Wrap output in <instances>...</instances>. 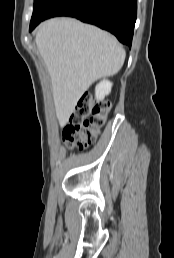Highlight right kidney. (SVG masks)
I'll return each mask as SVG.
<instances>
[{
	"label": "right kidney",
	"instance_id": "obj_1",
	"mask_svg": "<svg viewBox=\"0 0 174 258\" xmlns=\"http://www.w3.org/2000/svg\"><path fill=\"white\" fill-rule=\"evenodd\" d=\"M112 83L108 80L101 81L95 88V97L102 101L111 92Z\"/></svg>",
	"mask_w": 174,
	"mask_h": 258
}]
</instances>
